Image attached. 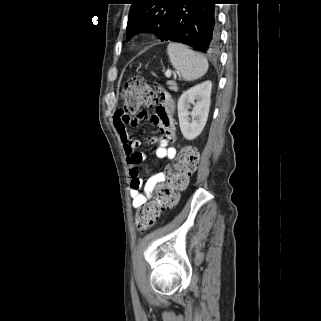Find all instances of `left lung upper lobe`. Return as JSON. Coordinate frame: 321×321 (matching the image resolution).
I'll return each mask as SVG.
<instances>
[{"mask_svg":"<svg viewBox=\"0 0 321 321\" xmlns=\"http://www.w3.org/2000/svg\"><path fill=\"white\" fill-rule=\"evenodd\" d=\"M177 2L178 0H131L127 39L139 32H152L163 40Z\"/></svg>","mask_w":321,"mask_h":321,"instance_id":"1","label":"left lung upper lobe"}]
</instances>
